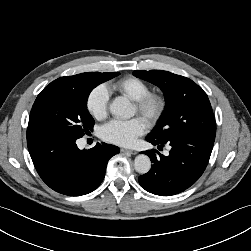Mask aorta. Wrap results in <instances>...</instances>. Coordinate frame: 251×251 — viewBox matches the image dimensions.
Segmentation results:
<instances>
[{
    "instance_id": "obj_1",
    "label": "aorta",
    "mask_w": 251,
    "mask_h": 251,
    "mask_svg": "<svg viewBox=\"0 0 251 251\" xmlns=\"http://www.w3.org/2000/svg\"><path fill=\"white\" fill-rule=\"evenodd\" d=\"M110 113L115 117L130 118L134 115V109L130 101L125 97L115 98L109 105ZM134 168L139 174H146L151 168L150 158L145 154L136 156Z\"/></svg>"
}]
</instances>
